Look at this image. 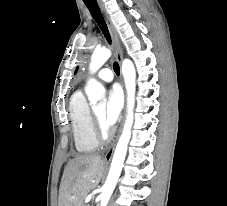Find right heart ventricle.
Segmentation results:
<instances>
[{
	"mask_svg": "<svg viewBox=\"0 0 227 206\" xmlns=\"http://www.w3.org/2000/svg\"><path fill=\"white\" fill-rule=\"evenodd\" d=\"M68 111L77 151L93 152L98 147L99 140L95 135L90 106L81 91H76L71 96Z\"/></svg>",
	"mask_w": 227,
	"mask_h": 206,
	"instance_id": "1",
	"label": "right heart ventricle"
}]
</instances>
